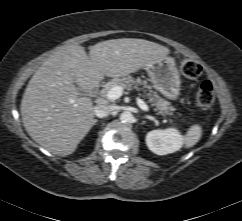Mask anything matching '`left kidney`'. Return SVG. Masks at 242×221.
<instances>
[{
  "mask_svg": "<svg viewBox=\"0 0 242 221\" xmlns=\"http://www.w3.org/2000/svg\"><path fill=\"white\" fill-rule=\"evenodd\" d=\"M183 143L182 135L176 128L152 130L146 135V144L153 153L166 155L178 151Z\"/></svg>",
  "mask_w": 242,
  "mask_h": 221,
  "instance_id": "obj_1",
  "label": "left kidney"
}]
</instances>
